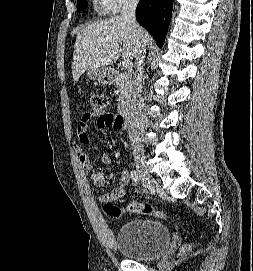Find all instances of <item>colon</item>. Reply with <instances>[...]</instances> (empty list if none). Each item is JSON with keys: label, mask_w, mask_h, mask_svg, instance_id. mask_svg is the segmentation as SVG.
Segmentation results:
<instances>
[{"label": "colon", "mask_w": 253, "mask_h": 271, "mask_svg": "<svg viewBox=\"0 0 253 271\" xmlns=\"http://www.w3.org/2000/svg\"><path fill=\"white\" fill-rule=\"evenodd\" d=\"M90 101H91V106H92L93 112L96 114L103 112L107 106V99L102 94H98V93L92 94ZM113 119L115 121L114 117H113ZM107 207H112V205H107ZM126 209L132 213L143 214V215H152V216H156L159 218L166 217V215L163 211L156 209L154 206H152L149 203H141V202L133 201L127 205Z\"/></svg>", "instance_id": "1"}]
</instances>
